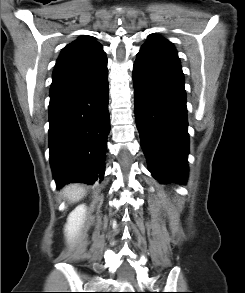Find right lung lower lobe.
<instances>
[{
    "instance_id": "right-lung-lower-lobe-1",
    "label": "right lung lower lobe",
    "mask_w": 245,
    "mask_h": 293,
    "mask_svg": "<svg viewBox=\"0 0 245 293\" xmlns=\"http://www.w3.org/2000/svg\"><path fill=\"white\" fill-rule=\"evenodd\" d=\"M108 70L50 97L49 153L57 187L94 184L104 176L108 112Z\"/></svg>"
}]
</instances>
